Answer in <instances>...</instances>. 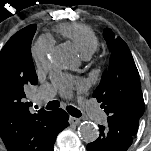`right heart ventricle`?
Segmentation results:
<instances>
[{"mask_svg":"<svg viewBox=\"0 0 151 151\" xmlns=\"http://www.w3.org/2000/svg\"><path fill=\"white\" fill-rule=\"evenodd\" d=\"M57 31L63 37L71 40L86 57L90 56L98 47V39L93 30L83 24L68 23L60 25Z\"/></svg>","mask_w":151,"mask_h":151,"instance_id":"1","label":"right heart ventricle"}]
</instances>
